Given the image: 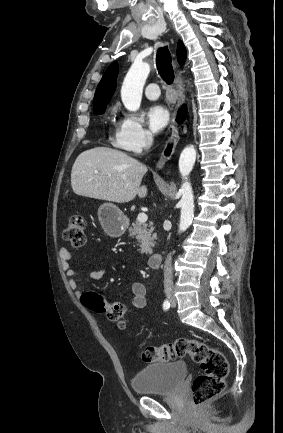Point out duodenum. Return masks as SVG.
<instances>
[{
    "instance_id": "1",
    "label": "duodenum",
    "mask_w": 283,
    "mask_h": 433,
    "mask_svg": "<svg viewBox=\"0 0 283 433\" xmlns=\"http://www.w3.org/2000/svg\"><path fill=\"white\" fill-rule=\"evenodd\" d=\"M162 262V255L160 253L152 254L148 260V265L152 269H158Z\"/></svg>"
}]
</instances>
